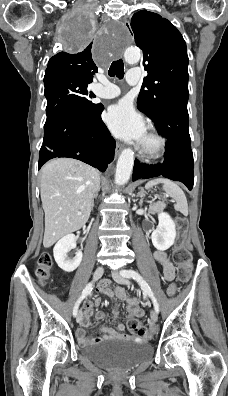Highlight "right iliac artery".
I'll use <instances>...</instances> for the list:
<instances>
[{
    "label": "right iliac artery",
    "mask_w": 228,
    "mask_h": 396,
    "mask_svg": "<svg viewBox=\"0 0 228 396\" xmlns=\"http://www.w3.org/2000/svg\"><path fill=\"white\" fill-rule=\"evenodd\" d=\"M92 289H93V283L90 282V283H88V284L86 285V287L84 288V290H83V292H82L80 298L77 300V302H76V304H75V306H74V308H73V316H74V317L77 316L78 308H79V305H80L81 301H82L87 295L90 294V292L92 291Z\"/></svg>",
    "instance_id": "82829eb1"
}]
</instances>
